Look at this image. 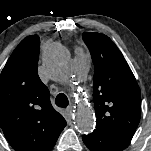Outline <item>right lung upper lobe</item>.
Wrapping results in <instances>:
<instances>
[{"instance_id":"1","label":"right lung upper lobe","mask_w":151,"mask_h":151,"mask_svg":"<svg viewBox=\"0 0 151 151\" xmlns=\"http://www.w3.org/2000/svg\"><path fill=\"white\" fill-rule=\"evenodd\" d=\"M40 39L24 38L0 74V128L16 151H50L66 126L37 67Z\"/></svg>"}]
</instances>
